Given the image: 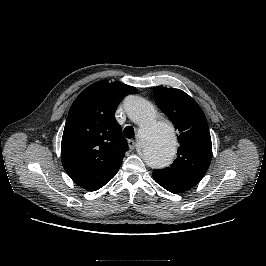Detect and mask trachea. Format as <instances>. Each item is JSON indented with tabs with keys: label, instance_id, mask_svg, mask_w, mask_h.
<instances>
[{
	"label": "trachea",
	"instance_id": "obj_1",
	"mask_svg": "<svg viewBox=\"0 0 266 266\" xmlns=\"http://www.w3.org/2000/svg\"><path fill=\"white\" fill-rule=\"evenodd\" d=\"M124 135H125V137L128 138V139L133 138L134 135H135L134 128L131 127V126H127V127H125V129H124Z\"/></svg>",
	"mask_w": 266,
	"mask_h": 266
}]
</instances>
